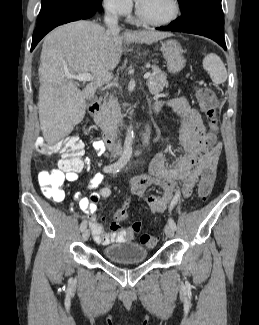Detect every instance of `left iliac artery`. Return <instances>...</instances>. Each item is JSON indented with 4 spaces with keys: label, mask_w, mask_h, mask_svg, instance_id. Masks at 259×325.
Masks as SVG:
<instances>
[{
    "label": "left iliac artery",
    "mask_w": 259,
    "mask_h": 325,
    "mask_svg": "<svg viewBox=\"0 0 259 325\" xmlns=\"http://www.w3.org/2000/svg\"><path fill=\"white\" fill-rule=\"evenodd\" d=\"M178 198H179V193H176V195L171 203L170 210H172L174 205L177 203ZM168 223L174 230H176V223L174 222V220L172 218H169Z\"/></svg>",
    "instance_id": "1"
}]
</instances>
